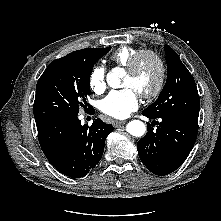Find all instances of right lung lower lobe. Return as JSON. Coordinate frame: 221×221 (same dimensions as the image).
<instances>
[{
	"mask_svg": "<svg viewBox=\"0 0 221 221\" xmlns=\"http://www.w3.org/2000/svg\"><path fill=\"white\" fill-rule=\"evenodd\" d=\"M38 139L48 161L62 174L80 178L100 161L111 124L95 119L81 125L78 117L36 123Z\"/></svg>",
	"mask_w": 221,
	"mask_h": 221,
	"instance_id": "obj_1",
	"label": "right lung lower lobe"
}]
</instances>
